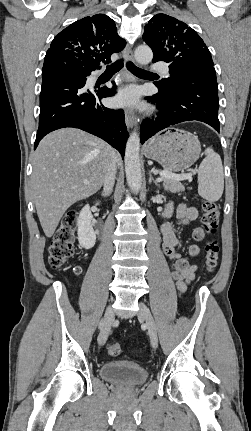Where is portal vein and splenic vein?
Wrapping results in <instances>:
<instances>
[{
  "label": "portal vein and splenic vein",
  "instance_id": "portal-vein-and-splenic-vein-1",
  "mask_svg": "<svg viewBox=\"0 0 251 431\" xmlns=\"http://www.w3.org/2000/svg\"><path fill=\"white\" fill-rule=\"evenodd\" d=\"M159 175H160L161 178L166 177V178H171V179L178 180V181H182V180H186V179H191L190 175H186V174H181V175L180 174H173V173L166 172V171L160 172ZM161 178H158V181H161ZM84 183L88 184L89 182L88 181H84Z\"/></svg>",
  "mask_w": 251,
  "mask_h": 431
}]
</instances>
